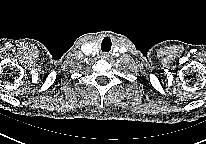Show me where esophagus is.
<instances>
[{"label": "esophagus", "instance_id": "1", "mask_svg": "<svg viewBox=\"0 0 206 144\" xmlns=\"http://www.w3.org/2000/svg\"><path fill=\"white\" fill-rule=\"evenodd\" d=\"M102 57H103L104 59H108V55H105V54H104Z\"/></svg>", "mask_w": 206, "mask_h": 144}]
</instances>
